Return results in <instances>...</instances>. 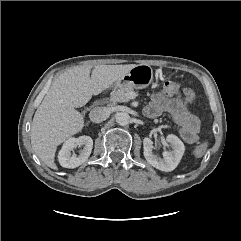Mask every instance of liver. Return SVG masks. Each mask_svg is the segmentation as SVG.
Returning a JSON list of instances; mask_svg holds the SVG:
<instances>
[{
    "mask_svg": "<svg viewBox=\"0 0 241 241\" xmlns=\"http://www.w3.org/2000/svg\"><path fill=\"white\" fill-rule=\"evenodd\" d=\"M135 64L83 65L60 74L35 112L31 127V144L36 155L56 170L57 146L84 127V117L75 108L86 105L127 74Z\"/></svg>",
    "mask_w": 241,
    "mask_h": 241,
    "instance_id": "6515ba94",
    "label": "liver"
}]
</instances>
